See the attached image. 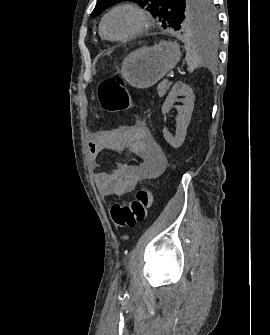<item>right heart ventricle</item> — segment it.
Instances as JSON below:
<instances>
[{"instance_id": "e07e8e85", "label": "right heart ventricle", "mask_w": 270, "mask_h": 335, "mask_svg": "<svg viewBox=\"0 0 270 335\" xmlns=\"http://www.w3.org/2000/svg\"><path fill=\"white\" fill-rule=\"evenodd\" d=\"M101 37H102V39H105V37L103 36V34H101Z\"/></svg>"}]
</instances>
